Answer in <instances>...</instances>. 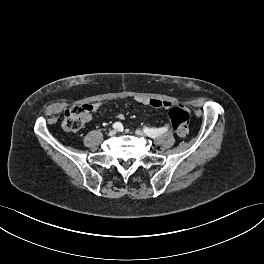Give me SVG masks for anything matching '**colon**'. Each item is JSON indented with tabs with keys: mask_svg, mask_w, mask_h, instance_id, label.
I'll return each instance as SVG.
<instances>
[{
	"mask_svg": "<svg viewBox=\"0 0 264 264\" xmlns=\"http://www.w3.org/2000/svg\"><path fill=\"white\" fill-rule=\"evenodd\" d=\"M90 105H76L65 111L63 127L70 132L79 131L87 122L90 112ZM169 120L175 132L184 137L189 132L190 115L183 106H175L169 111Z\"/></svg>",
	"mask_w": 264,
	"mask_h": 264,
	"instance_id": "1",
	"label": "colon"
}]
</instances>
